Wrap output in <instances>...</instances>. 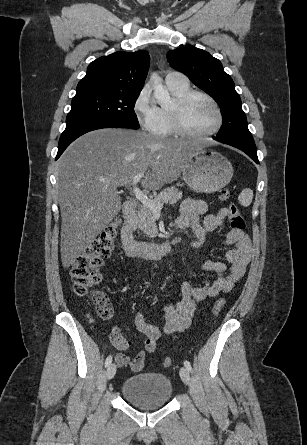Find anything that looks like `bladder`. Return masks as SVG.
Here are the masks:
<instances>
[{"mask_svg":"<svg viewBox=\"0 0 307 445\" xmlns=\"http://www.w3.org/2000/svg\"><path fill=\"white\" fill-rule=\"evenodd\" d=\"M123 397L140 409H158L167 405L173 393L170 379L161 373H139L127 378L121 387Z\"/></svg>","mask_w":307,"mask_h":445,"instance_id":"bladder-1","label":"bladder"}]
</instances>
